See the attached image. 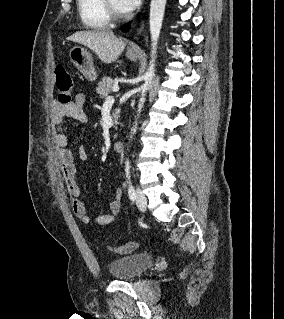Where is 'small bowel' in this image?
Instances as JSON below:
<instances>
[{"mask_svg":"<svg viewBox=\"0 0 284 319\" xmlns=\"http://www.w3.org/2000/svg\"><path fill=\"white\" fill-rule=\"evenodd\" d=\"M85 97L82 94L76 95L73 102L68 105L54 103L51 110V119L54 126V142L57 147V157L61 172L66 181V186L69 195L72 198V210L77 218L84 224L94 222L98 225H108L112 223L121 209L122 190L116 188L113 193V198L109 203L107 213L91 218L86 209V205L80 198V189L75 179L76 166L72 152L67 148L68 136L63 127V122L66 118L76 120L81 123L87 121V114L84 109ZM77 157L80 162H86L88 153L84 148H79Z\"/></svg>","mask_w":284,"mask_h":319,"instance_id":"1","label":"small bowel"}]
</instances>
